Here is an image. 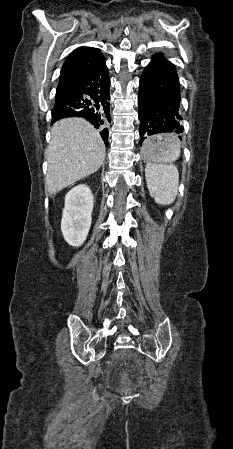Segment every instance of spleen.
I'll return each instance as SVG.
<instances>
[{
    "label": "spleen",
    "mask_w": 233,
    "mask_h": 449,
    "mask_svg": "<svg viewBox=\"0 0 233 449\" xmlns=\"http://www.w3.org/2000/svg\"><path fill=\"white\" fill-rule=\"evenodd\" d=\"M173 151H169L171 159L180 151L177 140L172 139ZM168 161L148 163L145 169L146 183L150 196L160 205L171 204L178 193L179 173L173 164Z\"/></svg>",
    "instance_id": "spleen-1"
}]
</instances>
